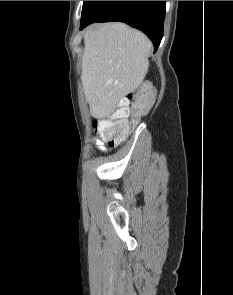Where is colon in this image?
<instances>
[{"label": "colon", "instance_id": "5ec220e1", "mask_svg": "<svg viewBox=\"0 0 233 295\" xmlns=\"http://www.w3.org/2000/svg\"><path fill=\"white\" fill-rule=\"evenodd\" d=\"M153 96L151 87L142 84L120 101L111 116L93 121L95 132L110 146L119 145L128 137L137 121L147 113L152 105Z\"/></svg>", "mask_w": 233, "mask_h": 295}]
</instances>
